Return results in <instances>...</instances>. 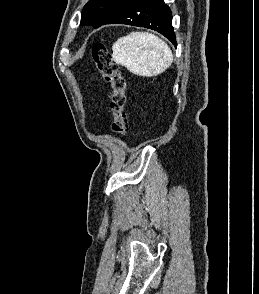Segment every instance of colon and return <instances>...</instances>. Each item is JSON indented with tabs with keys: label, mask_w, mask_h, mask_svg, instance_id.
Returning a JSON list of instances; mask_svg holds the SVG:
<instances>
[{
	"label": "colon",
	"mask_w": 259,
	"mask_h": 294,
	"mask_svg": "<svg viewBox=\"0 0 259 294\" xmlns=\"http://www.w3.org/2000/svg\"><path fill=\"white\" fill-rule=\"evenodd\" d=\"M92 58L96 69L110 85L112 90L110 103L113 115L112 130L117 135L125 137L128 131V118L125 111V79L104 44L95 43L92 46Z\"/></svg>",
	"instance_id": "obj_1"
}]
</instances>
